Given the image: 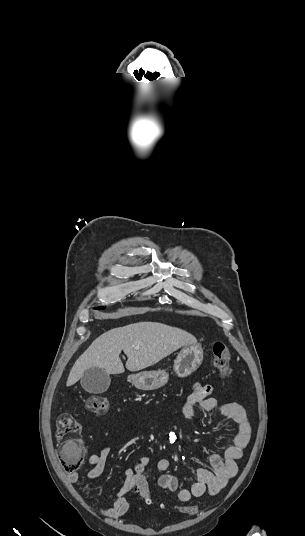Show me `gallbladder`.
Instances as JSON below:
<instances>
[{
  "label": "gallbladder",
  "instance_id": "bac80fb5",
  "mask_svg": "<svg viewBox=\"0 0 305 536\" xmlns=\"http://www.w3.org/2000/svg\"><path fill=\"white\" fill-rule=\"evenodd\" d=\"M110 376L103 368H89L81 378V386L89 394H103L110 386Z\"/></svg>",
  "mask_w": 305,
  "mask_h": 536
}]
</instances>
